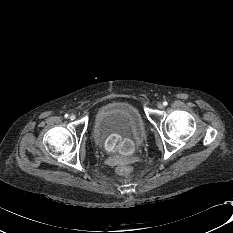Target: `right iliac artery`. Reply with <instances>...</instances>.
Listing matches in <instances>:
<instances>
[{"mask_svg":"<svg viewBox=\"0 0 233 233\" xmlns=\"http://www.w3.org/2000/svg\"><path fill=\"white\" fill-rule=\"evenodd\" d=\"M64 117H65V118H68V114H65Z\"/></svg>","mask_w":233,"mask_h":233,"instance_id":"1","label":"right iliac artery"}]
</instances>
